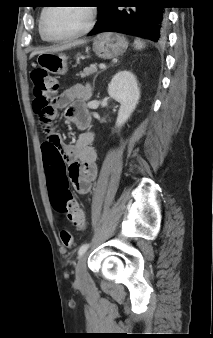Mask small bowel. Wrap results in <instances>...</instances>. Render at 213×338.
I'll return each mask as SVG.
<instances>
[{"label": "small bowel", "instance_id": "1", "mask_svg": "<svg viewBox=\"0 0 213 338\" xmlns=\"http://www.w3.org/2000/svg\"><path fill=\"white\" fill-rule=\"evenodd\" d=\"M89 97L88 87L75 84L58 95L54 106L67 108L66 119L85 129L89 124V117L84 110H80V106ZM93 141L94 134L84 132L73 146L61 143L49 150L43 147L44 168L50 190L58 183L65 184L70 181L78 194L86 195L90 192L92 181L97 175V154L92 147Z\"/></svg>", "mask_w": 213, "mask_h": 338}]
</instances>
